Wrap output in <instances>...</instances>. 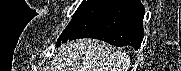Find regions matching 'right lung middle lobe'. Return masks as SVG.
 <instances>
[{"mask_svg": "<svg viewBox=\"0 0 181 71\" xmlns=\"http://www.w3.org/2000/svg\"><path fill=\"white\" fill-rule=\"evenodd\" d=\"M95 2V0H83V3H81V5L78 7V9L76 10V12L74 13L72 20L78 16L79 14H81L84 10H86L90 5H92Z\"/></svg>", "mask_w": 181, "mask_h": 71, "instance_id": "1", "label": "right lung middle lobe"}]
</instances>
